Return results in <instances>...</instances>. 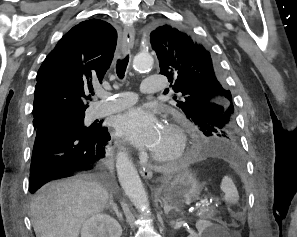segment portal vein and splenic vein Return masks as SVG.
Listing matches in <instances>:
<instances>
[{"label":"portal vein and splenic vein","instance_id":"18ae733b","mask_svg":"<svg viewBox=\"0 0 297 237\" xmlns=\"http://www.w3.org/2000/svg\"><path fill=\"white\" fill-rule=\"evenodd\" d=\"M203 205V203L199 202L195 205V210H198L199 208H201Z\"/></svg>","mask_w":297,"mask_h":237}]
</instances>
